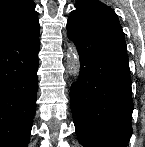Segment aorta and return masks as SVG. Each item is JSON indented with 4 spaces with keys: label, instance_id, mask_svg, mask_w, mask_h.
<instances>
[{
    "label": "aorta",
    "instance_id": "aorta-1",
    "mask_svg": "<svg viewBox=\"0 0 145 147\" xmlns=\"http://www.w3.org/2000/svg\"><path fill=\"white\" fill-rule=\"evenodd\" d=\"M66 62L68 73L76 80L80 72V58L73 42L67 43Z\"/></svg>",
    "mask_w": 145,
    "mask_h": 147
}]
</instances>
